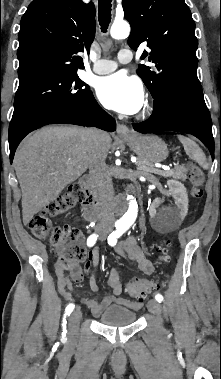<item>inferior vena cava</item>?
<instances>
[{
  "label": "inferior vena cava",
  "instance_id": "1",
  "mask_svg": "<svg viewBox=\"0 0 221 379\" xmlns=\"http://www.w3.org/2000/svg\"><path fill=\"white\" fill-rule=\"evenodd\" d=\"M86 136L91 144L89 151V174L95 182L102 198V214L99 221L101 229H111L115 221L113 211L114 189L108 167L99 152V138L101 131L97 129L86 130Z\"/></svg>",
  "mask_w": 221,
  "mask_h": 379
}]
</instances>
